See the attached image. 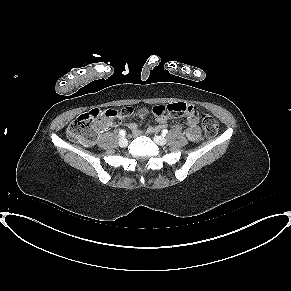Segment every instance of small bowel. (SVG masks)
I'll return each instance as SVG.
<instances>
[{
  "instance_id": "small-bowel-1",
  "label": "small bowel",
  "mask_w": 291,
  "mask_h": 291,
  "mask_svg": "<svg viewBox=\"0 0 291 291\" xmlns=\"http://www.w3.org/2000/svg\"><path fill=\"white\" fill-rule=\"evenodd\" d=\"M121 122V119H120ZM113 124L112 121H108L105 123L104 126H111ZM187 129H186V137L189 141L191 142H197L201 138V130L199 127V119L197 112L192 113V114H187ZM166 126V119L163 118H158L157 122L155 124H150L147 128V131L149 133L156 132L160 130L161 128H164ZM129 128L134 134V136H139L141 134V129L138 126L136 122H130L129 123Z\"/></svg>"
}]
</instances>
